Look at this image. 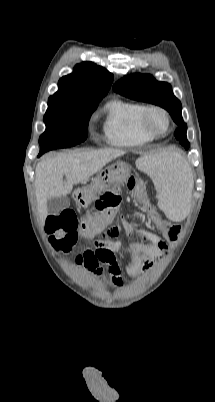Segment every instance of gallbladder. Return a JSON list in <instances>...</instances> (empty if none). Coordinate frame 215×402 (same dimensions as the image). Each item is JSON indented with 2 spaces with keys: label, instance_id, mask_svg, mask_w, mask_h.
<instances>
[{
  "label": "gallbladder",
  "instance_id": "1",
  "mask_svg": "<svg viewBox=\"0 0 215 402\" xmlns=\"http://www.w3.org/2000/svg\"><path fill=\"white\" fill-rule=\"evenodd\" d=\"M70 205L67 196L50 197L47 200V209L50 214H59L62 210L68 208Z\"/></svg>",
  "mask_w": 215,
  "mask_h": 402
}]
</instances>
